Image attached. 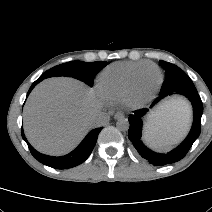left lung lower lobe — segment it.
<instances>
[{"mask_svg":"<svg viewBox=\"0 0 212 212\" xmlns=\"http://www.w3.org/2000/svg\"><path fill=\"white\" fill-rule=\"evenodd\" d=\"M172 94H180L187 97L192 103L193 114H194L193 125L190 133L188 134L186 139L174 150L166 154H160L151 151L142 143L141 141L142 120L143 117L148 112V109L134 111V113L130 115L128 119L130 123L128 131V137L130 141L132 142L133 146L138 151V153L154 166H164L181 160L187 154V152L189 151V149L191 148V146L193 145V143L198 138L201 132L200 123H201V116L203 113V105L197 91L182 90L167 94H159V97L151 104L150 107L152 108L161 99Z\"/></svg>","mask_w":212,"mask_h":212,"instance_id":"0a47b994","label":"left lung lower lobe"}]
</instances>
